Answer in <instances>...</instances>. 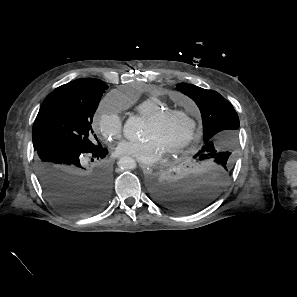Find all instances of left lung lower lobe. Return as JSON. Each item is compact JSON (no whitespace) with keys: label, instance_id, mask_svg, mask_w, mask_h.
Masks as SVG:
<instances>
[{"label":"left lung lower lobe","instance_id":"obj_1","mask_svg":"<svg viewBox=\"0 0 297 297\" xmlns=\"http://www.w3.org/2000/svg\"><path fill=\"white\" fill-rule=\"evenodd\" d=\"M223 160L194 156L173 180L153 182L155 199L180 213L204 209L222 193L231 177L232 165Z\"/></svg>","mask_w":297,"mask_h":297}]
</instances>
